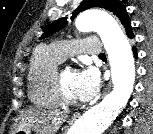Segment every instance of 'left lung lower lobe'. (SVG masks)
<instances>
[{"mask_svg": "<svg viewBox=\"0 0 153 134\" xmlns=\"http://www.w3.org/2000/svg\"><path fill=\"white\" fill-rule=\"evenodd\" d=\"M134 55L137 57L136 49L133 47Z\"/></svg>", "mask_w": 153, "mask_h": 134, "instance_id": "left-lung-lower-lobe-1", "label": "left lung lower lobe"}]
</instances>
